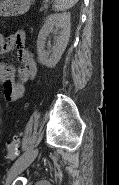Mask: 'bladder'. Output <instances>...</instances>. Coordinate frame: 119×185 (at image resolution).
<instances>
[{
  "label": "bladder",
  "instance_id": "31cf9c89",
  "mask_svg": "<svg viewBox=\"0 0 119 185\" xmlns=\"http://www.w3.org/2000/svg\"><path fill=\"white\" fill-rule=\"evenodd\" d=\"M36 185H51V184L47 181H39Z\"/></svg>",
  "mask_w": 119,
  "mask_h": 185
}]
</instances>
